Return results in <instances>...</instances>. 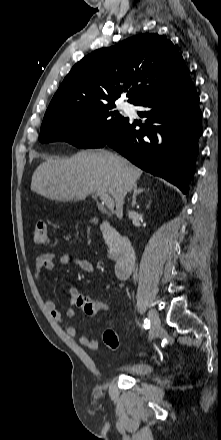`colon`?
<instances>
[{
  "instance_id": "obj_1",
  "label": "colon",
  "mask_w": 221,
  "mask_h": 440,
  "mask_svg": "<svg viewBox=\"0 0 221 440\" xmlns=\"http://www.w3.org/2000/svg\"><path fill=\"white\" fill-rule=\"evenodd\" d=\"M33 238L37 244L47 245L49 242L48 228L45 222L39 221L36 223L33 230ZM77 308L83 310L88 315H95L103 311H108V304L100 301L89 299L83 295H80L76 301ZM103 340L105 345L112 350H115L119 346V338L117 332L108 327L103 334Z\"/></svg>"
}]
</instances>
